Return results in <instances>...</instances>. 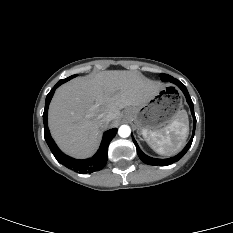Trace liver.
<instances>
[{
    "mask_svg": "<svg viewBox=\"0 0 233 233\" xmlns=\"http://www.w3.org/2000/svg\"><path fill=\"white\" fill-rule=\"evenodd\" d=\"M161 86L132 71H103L59 87L48 113L49 128L67 154L86 158L97 149L101 128L118 125L120 110L145 103ZM109 117L101 124L98 116Z\"/></svg>",
    "mask_w": 233,
    "mask_h": 233,
    "instance_id": "1",
    "label": "liver"
}]
</instances>
